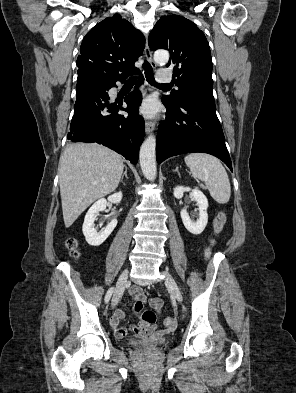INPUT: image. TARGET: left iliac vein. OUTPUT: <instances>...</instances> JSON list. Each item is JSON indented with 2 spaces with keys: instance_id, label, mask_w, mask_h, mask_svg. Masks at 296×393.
<instances>
[{
  "instance_id": "obj_1",
  "label": "left iliac vein",
  "mask_w": 296,
  "mask_h": 393,
  "mask_svg": "<svg viewBox=\"0 0 296 393\" xmlns=\"http://www.w3.org/2000/svg\"><path fill=\"white\" fill-rule=\"evenodd\" d=\"M164 274H165V285L168 291L178 302H182L183 300L182 293L176 281L167 271H164Z\"/></svg>"
}]
</instances>
